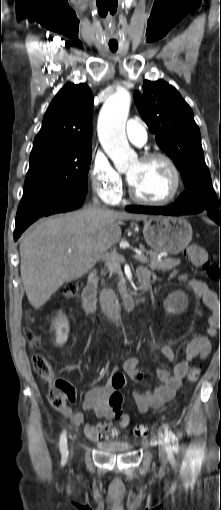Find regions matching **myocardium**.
Wrapping results in <instances>:
<instances>
[{
    "instance_id": "f54148a6",
    "label": "myocardium",
    "mask_w": 221,
    "mask_h": 510,
    "mask_svg": "<svg viewBox=\"0 0 221 510\" xmlns=\"http://www.w3.org/2000/svg\"><path fill=\"white\" fill-rule=\"evenodd\" d=\"M156 159L164 161L170 168V170L173 174V179H174L172 191L167 197L162 198V199H158V200L146 199V198L139 196L135 192V190L128 178L129 197L132 201H134L138 204L147 205V206H164V205H167V204L171 203L172 201H174L178 197V195L181 191V188H182L181 173H180V170H179L177 164L169 155L162 153V152H146L139 158V160L142 162H147V161L156 160Z\"/></svg>"
}]
</instances>
